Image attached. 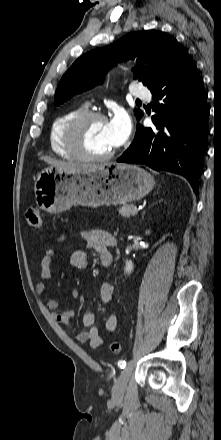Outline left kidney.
Segmentation results:
<instances>
[{
    "mask_svg": "<svg viewBox=\"0 0 221 440\" xmlns=\"http://www.w3.org/2000/svg\"><path fill=\"white\" fill-rule=\"evenodd\" d=\"M149 233H150L149 230L146 231V234H149ZM133 269H134L133 262L131 260H126L124 272L129 275L133 271Z\"/></svg>",
    "mask_w": 221,
    "mask_h": 440,
    "instance_id": "obj_1",
    "label": "left kidney"
}]
</instances>
